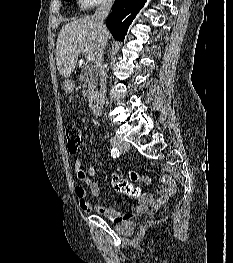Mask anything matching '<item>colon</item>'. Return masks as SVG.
<instances>
[{"label": "colon", "instance_id": "obj_1", "mask_svg": "<svg viewBox=\"0 0 233 263\" xmlns=\"http://www.w3.org/2000/svg\"><path fill=\"white\" fill-rule=\"evenodd\" d=\"M65 136L67 140V148L70 153H76L82 142V133L80 128L75 125L71 124L66 127L65 129ZM120 174H125L126 176H131L132 180L136 179V176H143V171H135L134 169H129L128 171L126 169H120ZM114 187L117 191L130 195V196H137L139 193V190L129 181L126 179H120L115 178L114 179ZM146 193L145 191L143 192Z\"/></svg>", "mask_w": 233, "mask_h": 263}]
</instances>
